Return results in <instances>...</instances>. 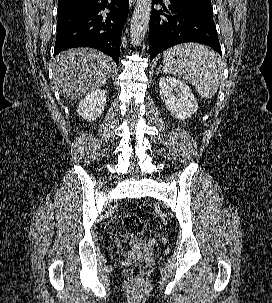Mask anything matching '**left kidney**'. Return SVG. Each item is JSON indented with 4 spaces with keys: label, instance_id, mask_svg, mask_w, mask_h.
Instances as JSON below:
<instances>
[{
    "label": "left kidney",
    "instance_id": "5707ae66",
    "mask_svg": "<svg viewBox=\"0 0 272 303\" xmlns=\"http://www.w3.org/2000/svg\"><path fill=\"white\" fill-rule=\"evenodd\" d=\"M160 96L170 114L179 120L191 118L198 110V104L190 87L173 77H162L159 80ZM174 91L178 92L175 96Z\"/></svg>",
    "mask_w": 272,
    "mask_h": 303
}]
</instances>
